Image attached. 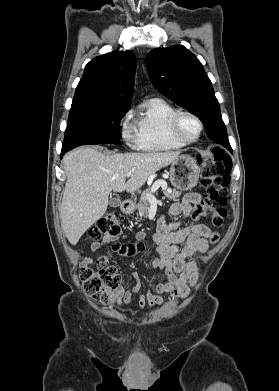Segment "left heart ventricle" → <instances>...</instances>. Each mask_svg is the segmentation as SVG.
<instances>
[{
    "mask_svg": "<svg viewBox=\"0 0 279 391\" xmlns=\"http://www.w3.org/2000/svg\"><path fill=\"white\" fill-rule=\"evenodd\" d=\"M198 124L191 117L185 116L180 123V132L186 139H194L198 134Z\"/></svg>",
    "mask_w": 279,
    "mask_h": 391,
    "instance_id": "b2bd125f",
    "label": "left heart ventricle"
}]
</instances>
